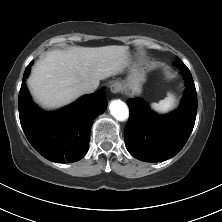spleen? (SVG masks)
I'll return each mask as SVG.
<instances>
[{"mask_svg": "<svg viewBox=\"0 0 222 222\" xmlns=\"http://www.w3.org/2000/svg\"><path fill=\"white\" fill-rule=\"evenodd\" d=\"M175 102V96L168 93V96L165 99L160 100L158 103H152L151 107L159 113H167L174 108Z\"/></svg>", "mask_w": 222, "mask_h": 222, "instance_id": "obj_1", "label": "spleen"}]
</instances>
